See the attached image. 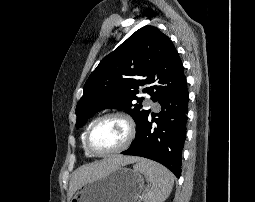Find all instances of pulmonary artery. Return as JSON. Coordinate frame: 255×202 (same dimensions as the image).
Instances as JSON below:
<instances>
[{
	"mask_svg": "<svg viewBox=\"0 0 255 202\" xmlns=\"http://www.w3.org/2000/svg\"><path fill=\"white\" fill-rule=\"evenodd\" d=\"M147 106L151 107L154 111L158 110V107L156 105L152 104L151 102H147Z\"/></svg>",
	"mask_w": 255,
	"mask_h": 202,
	"instance_id": "1",
	"label": "pulmonary artery"
}]
</instances>
